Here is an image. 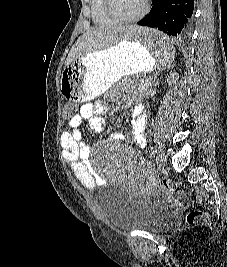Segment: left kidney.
I'll return each mask as SVG.
<instances>
[{
  "instance_id": "1",
  "label": "left kidney",
  "mask_w": 227,
  "mask_h": 267,
  "mask_svg": "<svg viewBox=\"0 0 227 267\" xmlns=\"http://www.w3.org/2000/svg\"><path fill=\"white\" fill-rule=\"evenodd\" d=\"M177 79H178L177 73L176 72L171 73L167 79L168 85L171 86L172 84L176 82Z\"/></svg>"
}]
</instances>
